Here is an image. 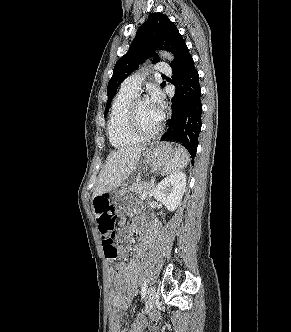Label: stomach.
<instances>
[{
	"instance_id": "obj_1",
	"label": "stomach",
	"mask_w": 291,
	"mask_h": 332,
	"mask_svg": "<svg viewBox=\"0 0 291 332\" xmlns=\"http://www.w3.org/2000/svg\"><path fill=\"white\" fill-rule=\"evenodd\" d=\"M176 151L177 149L170 143L155 142L142 152L140 163L153 170H158L166 166L170 160L176 156ZM130 201L131 198L127 195L125 188L114 191L113 204L117 211L124 210L128 207Z\"/></svg>"
}]
</instances>
